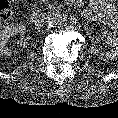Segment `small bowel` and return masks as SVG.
Instances as JSON below:
<instances>
[{
  "mask_svg": "<svg viewBox=\"0 0 118 118\" xmlns=\"http://www.w3.org/2000/svg\"><path fill=\"white\" fill-rule=\"evenodd\" d=\"M108 18L112 22V29L118 33V18L116 17V11L115 9H108L106 12Z\"/></svg>",
  "mask_w": 118,
  "mask_h": 118,
  "instance_id": "obj_1",
  "label": "small bowel"
}]
</instances>
